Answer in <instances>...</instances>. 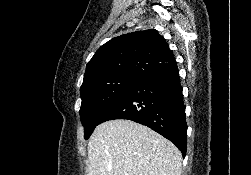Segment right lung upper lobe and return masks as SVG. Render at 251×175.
<instances>
[{"instance_id":"cb5924a9","label":"right lung upper lobe","mask_w":251,"mask_h":175,"mask_svg":"<svg viewBox=\"0 0 251 175\" xmlns=\"http://www.w3.org/2000/svg\"><path fill=\"white\" fill-rule=\"evenodd\" d=\"M173 52L157 30L136 31L102 45L86 66L81 87L117 76L143 79L175 67Z\"/></svg>"}]
</instances>
